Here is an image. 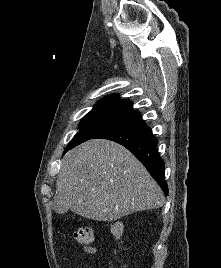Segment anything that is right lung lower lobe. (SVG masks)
Wrapping results in <instances>:
<instances>
[{
    "label": "right lung lower lobe",
    "instance_id": "obj_1",
    "mask_svg": "<svg viewBox=\"0 0 221 268\" xmlns=\"http://www.w3.org/2000/svg\"><path fill=\"white\" fill-rule=\"evenodd\" d=\"M94 138L109 139L130 150L168 195L164 162L156 149L157 139L141 118L110 128L91 139Z\"/></svg>",
    "mask_w": 221,
    "mask_h": 268
}]
</instances>
